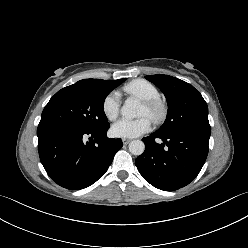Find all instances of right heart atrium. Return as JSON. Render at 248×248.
Returning a JSON list of instances; mask_svg holds the SVG:
<instances>
[{"instance_id": "d8ad5b80", "label": "right heart atrium", "mask_w": 248, "mask_h": 248, "mask_svg": "<svg viewBox=\"0 0 248 248\" xmlns=\"http://www.w3.org/2000/svg\"><path fill=\"white\" fill-rule=\"evenodd\" d=\"M121 105L120 94L116 91L106 95L102 103V111L108 120H115L119 114Z\"/></svg>"}]
</instances>
